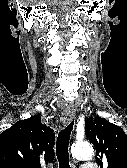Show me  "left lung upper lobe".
<instances>
[{"label": "left lung upper lobe", "instance_id": "1", "mask_svg": "<svg viewBox=\"0 0 127 168\" xmlns=\"http://www.w3.org/2000/svg\"><path fill=\"white\" fill-rule=\"evenodd\" d=\"M85 132L101 168H127V136L122 128L102 117H90L85 122Z\"/></svg>", "mask_w": 127, "mask_h": 168}]
</instances>
